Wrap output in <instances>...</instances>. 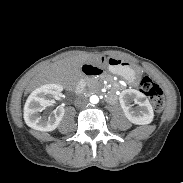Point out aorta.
Returning <instances> with one entry per match:
<instances>
[{
	"mask_svg": "<svg viewBox=\"0 0 183 183\" xmlns=\"http://www.w3.org/2000/svg\"><path fill=\"white\" fill-rule=\"evenodd\" d=\"M90 102H91L92 104H97V103L99 102L98 96L92 95V96L90 97Z\"/></svg>",
	"mask_w": 183,
	"mask_h": 183,
	"instance_id": "aorta-1",
	"label": "aorta"
}]
</instances>
